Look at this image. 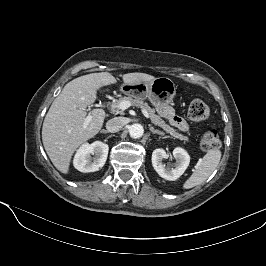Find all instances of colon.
Returning <instances> with one entry per match:
<instances>
[{
    "mask_svg": "<svg viewBox=\"0 0 266 266\" xmlns=\"http://www.w3.org/2000/svg\"><path fill=\"white\" fill-rule=\"evenodd\" d=\"M188 116L195 122H202L209 118L210 109L206 103L200 99L191 101L188 107ZM221 140L218 131L211 127L207 129L200 139V147L204 151L215 150L220 147Z\"/></svg>",
    "mask_w": 266,
    "mask_h": 266,
    "instance_id": "5ec220e1",
    "label": "colon"
}]
</instances>
